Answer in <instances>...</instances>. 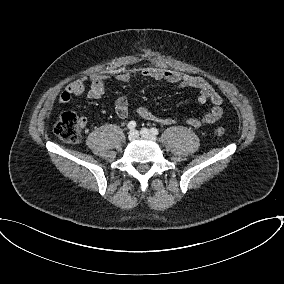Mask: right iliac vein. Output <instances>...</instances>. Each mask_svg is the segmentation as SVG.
<instances>
[{"mask_svg":"<svg viewBox=\"0 0 284 284\" xmlns=\"http://www.w3.org/2000/svg\"><path fill=\"white\" fill-rule=\"evenodd\" d=\"M138 136H139V134H138V132L136 130H131L129 132V134H128V139L130 141H134V140H136L138 138Z\"/></svg>","mask_w":284,"mask_h":284,"instance_id":"right-iliac-vein-1","label":"right iliac vein"}]
</instances>
